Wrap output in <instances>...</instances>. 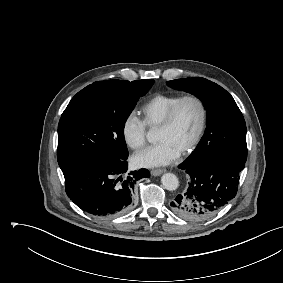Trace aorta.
I'll use <instances>...</instances> for the list:
<instances>
[{"instance_id": "aorta-1", "label": "aorta", "mask_w": 283, "mask_h": 283, "mask_svg": "<svg viewBox=\"0 0 283 283\" xmlns=\"http://www.w3.org/2000/svg\"><path fill=\"white\" fill-rule=\"evenodd\" d=\"M155 139H156L155 134L152 131H150L147 134V140L149 142H154ZM161 183L164 186V188L169 190V191H174L179 186L178 178L176 177V175H174L172 173L163 174L162 177H161Z\"/></svg>"}]
</instances>
